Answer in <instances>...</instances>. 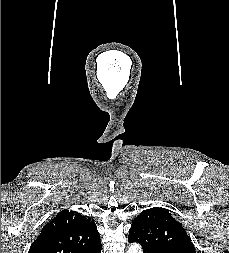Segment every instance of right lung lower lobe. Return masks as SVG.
Segmentation results:
<instances>
[{"mask_svg":"<svg viewBox=\"0 0 229 253\" xmlns=\"http://www.w3.org/2000/svg\"><path fill=\"white\" fill-rule=\"evenodd\" d=\"M88 253H101V244L97 246L96 248L88 251Z\"/></svg>","mask_w":229,"mask_h":253,"instance_id":"obj_1","label":"right lung lower lobe"}]
</instances>
